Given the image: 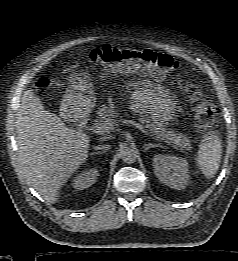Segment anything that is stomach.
Listing matches in <instances>:
<instances>
[{
  "label": "stomach",
  "instance_id": "obj_1",
  "mask_svg": "<svg viewBox=\"0 0 238 261\" xmlns=\"http://www.w3.org/2000/svg\"><path fill=\"white\" fill-rule=\"evenodd\" d=\"M63 106L74 115L86 114L95 106L93 85L87 72L78 71L71 74Z\"/></svg>",
  "mask_w": 238,
  "mask_h": 261
}]
</instances>
